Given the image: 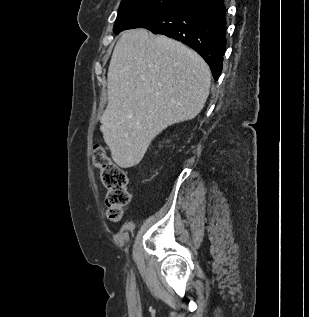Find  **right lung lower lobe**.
Instances as JSON below:
<instances>
[{"label":"right lung lower lobe","instance_id":"98d812e1","mask_svg":"<svg viewBox=\"0 0 309 317\" xmlns=\"http://www.w3.org/2000/svg\"><path fill=\"white\" fill-rule=\"evenodd\" d=\"M225 12L223 0H181L142 15L125 29L142 27L181 41L203 57L217 81L226 49Z\"/></svg>","mask_w":309,"mask_h":317}]
</instances>
